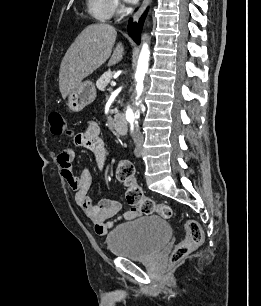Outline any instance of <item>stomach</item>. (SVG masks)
Wrapping results in <instances>:
<instances>
[{"mask_svg": "<svg viewBox=\"0 0 261 306\" xmlns=\"http://www.w3.org/2000/svg\"><path fill=\"white\" fill-rule=\"evenodd\" d=\"M96 98V88L91 81L81 82L68 95L67 106L73 112H79Z\"/></svg>", "mask_w": 261, "mask_h": 306, "instance_id": "obj_1", "label": "stomach"}]
</instances>
